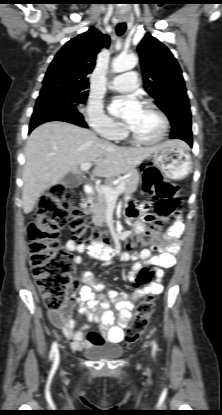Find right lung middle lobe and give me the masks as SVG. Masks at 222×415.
<instances>
[{
  "label": "right lung middle lobe",
  "mask_w": 222,
  "mask_h": 415,
  "mask_svg": "<svg viewBox=\"0 0 222 415\" xmlns=\"http://www.w3.org/2000/svg\"><path fill=\"white\" fill-rule=\"evenodd\" d=\"M56 90L65 96L75 107L84 104L88 96V92H83L72 88L58 87Z\"/></svg>",
  "instance_id": "dd1d6c3e"
}]
</instances>
